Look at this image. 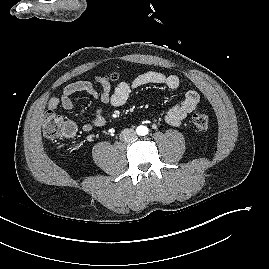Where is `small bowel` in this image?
<instances>
[{
    "mask_svg": "<svg viewBox=\"0 0 269 269\" xmlns=\"http://www.w3.org/2000/svg\"><path fill=\"white\" fill-rule=\"evenodd\" d=\"M95 80L100 85L97 90L90 81L80 80L67 84L59 97H52L47 104L48 112H53L58 107L65 110H71L74 106L72 96L78 92H85L96 99L101 104H109L112 107L123 106L130 94L137 88L154 84L164 85L169 89H177L180 85V79L174 74H164L157 71H147L139 74L132 81L120 82L113 90L108 81L102 76H97ZM200 102V95L195 90H189L184 94L179 104L171 107L165 115L167 123L173 126L180 125L189 113L194 111ZM105 119L103 117L102 108H98L94 117L85 122L82 126L84 132H90L94 128L104 126ZM76 126L72 122H68L67 135H74Z\"/></svg>",
    "mask_w": 269,
    "mask_h": 269,
    "instance_id": "c3829d8e",
    "label": "small bowel"
}]
</instances>
